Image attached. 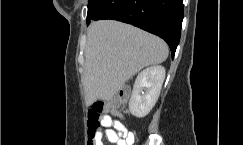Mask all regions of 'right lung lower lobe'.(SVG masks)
I'll use <instances>...</instances> for the list:
<instances>
[{"instance_id": "98d812e1", "label": "right lung lower lobe", "mask_w": 243, "mask_h": 145, "mask_svg": "<svg viewBox=\"0 0 243 145\" xmlns=\"http://www.w3.org/2000/svg\"><path fill=\"white\" fill-rule=\"evenodd\" d=\"M183 15V0H93L88 6L87 24L101 19L132 24L164 39L173 57Z\"/></svg>"}]
</instances>
